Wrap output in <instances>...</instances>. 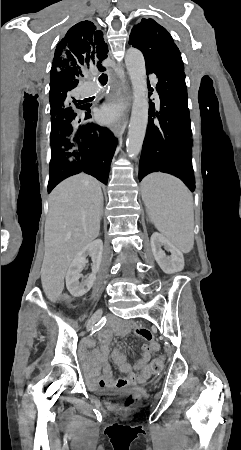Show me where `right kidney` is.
I'll list each match as a JSON object with an SVG mask.
<instances>
[{
    "instance_id": "right-kidney-1",
    "label": "right kidney",
    "mask_w": 241,
    "mask_h": 450,
    "mask_svg": "<svg viewBox=\"0 0 241 450\" xmlns=\"http://www.w3.org/2000/svg\"><path fill=\"white\" fill-rule=\"evenodd\" d=\"M102 252V240H94V242H90L88 246L82 248V250L76 254L73 262H71L69 270L66 274V286L68 292H70L74 298L84 296V294H87L90 288H92L96 280V274L100 268ZM87 256L92 258V274L85 276L86 280L79 282V278H82V276H80V272L82 268H84L85 264H87Z\"/></svg>"
}]
</instances>
